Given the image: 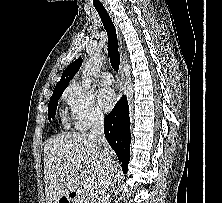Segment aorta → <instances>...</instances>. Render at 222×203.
Segmentation results:
<instances>
[{
	"label": "aorta",
	"mask_w": 222,
	"mask_h": 203,
	"mask_svg": "<svg viewBox=\"0 0 222 203\" xmlns=\"http://www.w3.org/2000/svg\"><path fill=\"white\" fill-rule=\"evenodd\" d=\"M103 61L104 57H102L100 54H96L89 58L83 69L81 81L82 87L85 89L90 88L92 80L100 71Z\"/></svg>",
	"instance_id": "obj_1"
}]
</instances>
